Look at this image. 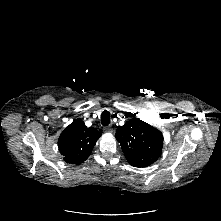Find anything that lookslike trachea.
Here are the masks:
<instances>
[{
	"mask_svg": "<svg viewBox=\"0 0 221 221\" xmlns=\"http://www.w3.org/2000/svg\"><path fill=\"white\" fill-rule=\"evenodd\" d=\"M101 123L104 126H107L110 123V113L107 110H104L101 114Z\"/></svg>",
	"mask_w": 221,
	"mask_h": 221,
	"instance_id": "1",
	"label": "trachea"
}]
</instances>
